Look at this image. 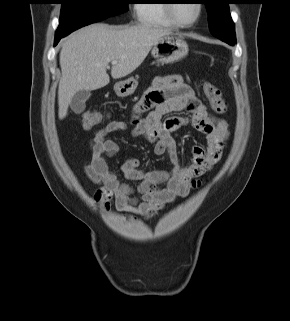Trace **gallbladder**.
Returning <instances> with one entry per match:
<instances>
[{
    "label": "gallbladder",
    "mask_w": 290,
    "mask_h": 321,
    "mask_svg": "<svg viewBox=\"0 0 290 321\" xmlns=\"http://www.w3.org/2000/svg\"><path fill=\"white\" fill-rule=\"evenodd\" d=\"M91 92L86 90L78 91L72 98L70 107L76 114H80L85 109V103L90 98Z\"/></svg>",
    "instance_id": "gallbladder-1"
}]
</instances>
